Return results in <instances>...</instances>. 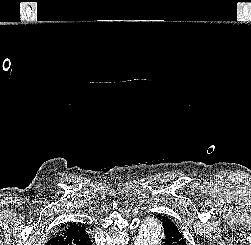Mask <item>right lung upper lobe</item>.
Returning <instances> with one entry per match:
<instances>
[{
    "label": "right lung upper lobe",
    "instance_id": "1",
    "mask_svg": "<svg viewBox=\"0 0 251 245\" xmlns=\"http://www.w3.org/2000/svg\"><path fill=\"white\" fill-rule=\"evenodd\" d=\"M80 228L82 227L79 224L74 223V224H69L68 226L63 227L61 230L62 231H65L68 229L75 230V229H80Z\"/></svg>",
    "mask_w": 251,
    "mask_h": 245
}]
</instances>
